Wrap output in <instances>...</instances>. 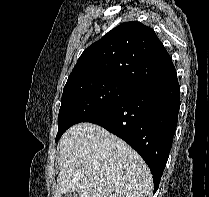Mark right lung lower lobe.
<instances>
[{
  "instance_id": "98d812e1",
  "label": "right lung lower lobe",
  "mask_w": 209,
  "mask_h": 197,
  "mask_svg": "<svg viewBox=\"0 0 209 197\" xmlns=\"http://www.w3.org/2000/svg\"><path fill=\"white\" fill-rule=\"evenodd\" d=\"M179 106L180 87L174 68L84 122L104 127L135 149L151 170L156 192L169 157Z\"/></svg>"
}]
</instances>
